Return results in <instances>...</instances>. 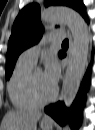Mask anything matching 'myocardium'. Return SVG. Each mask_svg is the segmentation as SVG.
<instances>
[{"label":"myocardium","mask_w":95,"mask_h":130,"mask_svg":"<svg viewBox=\"0 0 95 130\" xmlns=\"http://www.w3.org/2000/svg\"><path fill=\"white\" fill-rule=\"evenodd\" d=\"M28 92L31 99L38 105H46L54 101L58 95V89L55 87L53 94L48 98H41L37 92L35 81H34V72H31L28 79Z\"/></svg>","instance_id":"1"}]
</instances>
